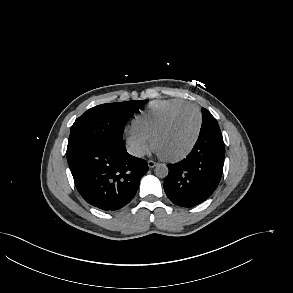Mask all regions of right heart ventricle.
<instances>
[{
  "instance_id": "1",
  "label": "right heart ventricle",
  "mask_w": 293,
  "mask_h": 293,
  "mask_svg": "<svg viewBox=\"0 0 293 293\" xmlns=\"http://www.w3.org/2000/svg\"><path fill=\"white\" fill-rule=\"evenodd\" d=\"M188 104L191 103L179 98L153 101L134 118L132 129L150 139L154 131L171 112Z\"/></svg>"
}]
</instances>
